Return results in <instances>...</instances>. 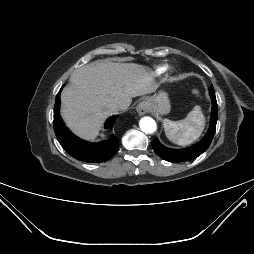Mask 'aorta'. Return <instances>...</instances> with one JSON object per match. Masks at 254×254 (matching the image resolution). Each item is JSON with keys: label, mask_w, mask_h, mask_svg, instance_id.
<instances>
[{"label": "aorta", "mask_w": 254, "mask_h": 254, "mask_svg": "<svg viewBox=\"0 0 254 254\" xmlns=\"http://www.w3.org/2000/svg\"><path fill=\"white\" fill-rule=\"evenodd\" d=\"M156 122L151 117H144L140 120V128L145 133H153L156 131Z\"/></svg>", "instance_id": "1"}]
</instances>
